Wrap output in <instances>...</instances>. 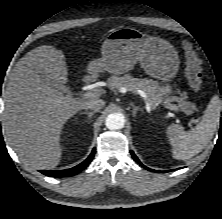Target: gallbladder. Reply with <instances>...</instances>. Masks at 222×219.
Returning <instances> with one entry per match:
<instances>
[{"instance_id": "obj_1", "label": "gallbladder", "mask_w": 222, "mask_h": 219, "mask_svg": "<svg viewBox=\"0 0 222 219\" xmlns=\"http://www.w3.org/2000/svg\"><path fill=\"white\" fill-rule=\"evenodd\" d=\"M39 75L41 76L42 80L45 83L49 84L54 89H56V90H58L60 92L68 93V89L66 87H64L63 85H61L60 83H58L54 79L49 78L48 74H46L45 72L40 70L39 71Z\"/></svg>"}]
</instances>
